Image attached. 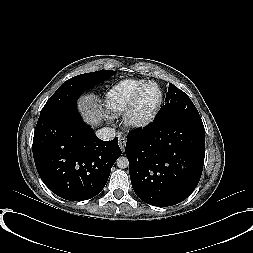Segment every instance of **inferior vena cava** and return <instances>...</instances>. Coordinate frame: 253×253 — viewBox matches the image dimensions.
I'll list each match as a JSON object with an SVG mask.
<instances>
[{
	"instance_id": "inferior-vena-cava-1",
	"label": "inferior vena cava",
	"mask_w": 253,
	"mask_h": 253,
	"mask_svg": "<svg viewBox=\"0 0 253 253\" xmlns=\"http://www.w3.org/2000/svg\"><path fill=\"white\" fill-rule=\"evenodd\" d=\"M98 138L104 141H109L115 138V129L111 127H103L96 131Z\"/></svg>"
}]
</instances>
